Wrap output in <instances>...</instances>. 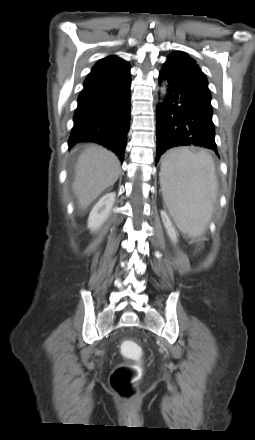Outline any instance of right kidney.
Segmentation results:
<instances>
[{
  "instance_id": "ca27d5eb",
  "label": "right kidney",
  "mask_w": 255,
  "mask_h": 440,
  "mask_svg": "<svg viewBox=\"0 0 255 440\" xmlns=\"http://www.w3.org/2000/svg\"><path fill=\"white\" fill-rule=\"evenodd\" d=\"M116 194L114 192L105 194L93 207L88 218V228L97 231L107 220L114 205Z\"/></svg>"
}]
</instances>
